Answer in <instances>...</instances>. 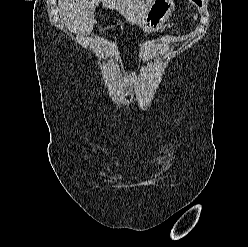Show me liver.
Wrapping results in <instances>:
<instances>
[{
    "label": "liver",
    "mask_w": 248,
    "mask_h": 247,
    "mask_svg": "<svg viewBox=\"0 0 248 247\" xmlns=\"http://www.w3.org/2000/svg\"><path fill=\"white\" fill-rule=\"evenodd\" d=\"M153 0H59L60 16L70 30L90 33L96 23L94 12L102 2L105 8L115 9L128 22L139 24Z\"/></svg>",
    "instance_id": "obj_1"
}]
</instances>
